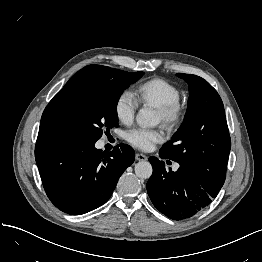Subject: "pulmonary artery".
Returning <instances> with one entry per match:
<instances>
[{"mask_svg":"<svg viewBox=\"0 0 262 262\" xmlns=\"http://www.w3.org/2000/svg\"><path fill=\"white\" fill-rule=\"evenodd\" d=\"M174 168L177 169V168H178V165H175Z\"/></svg>","mask_w":262,"mask_h":262,"instance_id":"e3ab8cb5","label":"pulmonary artery"}]
</instances>
